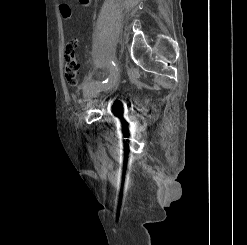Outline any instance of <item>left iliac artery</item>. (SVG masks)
Wrapping results in <instances>:
<instances>
[{
	"instance_id": "44dca946",
	"label": "left iliac artery",
	"mask_w": 247,
	"mask_h": 245,
	"mask_svg": "<svg viewBox=\"0 0 247 245\" xmlns=\"http://www.w3.org/2000/svg\"><path fill=\"white\" fill-rule=\"evenodd\" d=\"M117 70H118V68H117L116 64L114 63V61H110V75L103 81H86L83 84V89L86 90L89 86L94 85V84L100 85V86L107 85Z\"/></svg>"
}]
</instances>
